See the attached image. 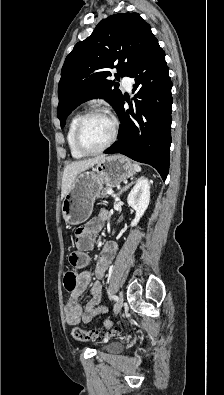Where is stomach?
Listing matches in <instances>:
<instances>
[{"label":"stomach","mask_w":224,"mask_h":395,"mask_svg":"<svg viewBox=\"0 0 224 395\" xmlns=\"http://www.w3.org/2000/svg\"><path fill=\"white\" fill-rule=\"evenodd\" d=\"M133 174L131 161L123 155L104 157L92 171L79 173L62 202L61 211L65 223L78 225L85 222L104 185L116 187Z\"/></svg>","instance_id":"stomach-1"}]
</instances>
